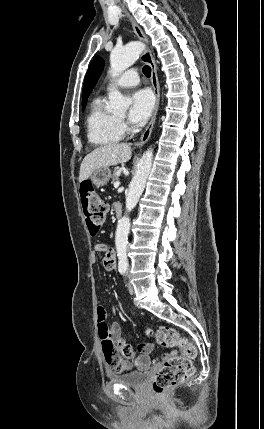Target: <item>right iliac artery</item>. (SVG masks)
Wrapping results in <instances>:
<instances>
[{
	"instance_id": "right-iliac-artery-1",
	"label": "right iliac artery",
	"mask_w": 264,
	"mask_h": 429,
	"mask_svg": "<svg viewBox=\"0 0 264 429\" xmlns=\"http://www.w3.org/2000/svg\"><path fill=\"white\" fill-rule=\"evenodd\" d=\"M119 272H120L121 274H124V273L126 272V269H125V268H120V269H119Z\"/></svg>"
}]
</instances>
